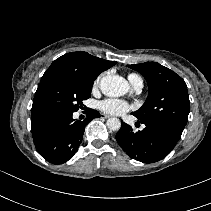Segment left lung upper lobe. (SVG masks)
<instances>
[{"label":"left lung upper lobe","mask_w":211,"mask_h":211,"mask_svg":"<svg viewBox=\"0 0 211 211\" xmlns=\"http://www.w3.org/2000/svg\"><path fill=\"white\" fill-rule=\"evenodd\" d=\"M127 66L141 73L149 87L146 102L132 115L140 121L163 123L182 133L190 110L185 81L159 63L145 62Z\"/></svg>","instance_id":"obj_1"}]
</instances>
